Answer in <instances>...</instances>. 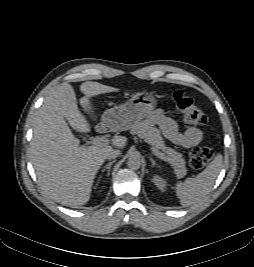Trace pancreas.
<instances>
[{
	"instance_id": "1",
	"label": "pancreas",
	"mask_w": 254,
	"mask_h": 267,
	"mask_svg": "<svg viewBox=\"0 0 254 267\" xmlns=\"http://www.w3.org/2000/svg\"><path fill=\"white\" fill-rule=\"evenodd\" d=\"M131 133L136 134L138 137L150 144L152 148L162 150L165 153L166 161L173 166L174 172L178 178H182L186 175V162L182 154L165 146L157 128L153 127V125L148 122H142L133 126L131 128Z\"/></svg>"
}]
</instances>
